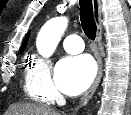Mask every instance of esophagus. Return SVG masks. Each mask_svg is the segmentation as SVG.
I'll return each mask as SVG.
<instances>
[{
  "mask_svg": "<svg viewBox=\"0 0 131 115\" xmlns=\"http://www.w3.org/2000/svg\"><path fill=\"white\" fill-rule=\"evenodd\" d=\"M93 3V13H94V19L97 25V33H96V50H95V55L97 58V63H98V72L96 75V78L90 87V89L86 92V94L81 98L79 102V107L84 106L93 96L95 93L101 77H102V72H103V63H102V58L100 55L99 51V46L102 40V20H101V1L100 0H92Z\"/></svg>",
  "mask_w": 131,
  "mask_h": 115,
  "instance_id": "34e87169",
  "label": "esophagus"
}]
</instances>
